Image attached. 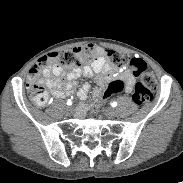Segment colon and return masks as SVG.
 <instances>
[{
	"label": "colon",
	"instance_id": "obj_1",
	"mask_svg": "<svg viewBox=\"0 0 183 183\" xmlns=\"http://www.w3.org/2000/svg\"><path fill=\"white\" fill-rule=\"evenodd\" d=\"M100 52L98 47L86 45L42 57L29 73L27 91L30 100L37 106H43L47 102L48 96L41 78L43 70L50 68L52 65H58L61 68L79 67L82 63L97 57ZM103 54L112 67L121 69L128 66L138 77V82L132 95V99L136 104L141 105L152 99L153 93L157 88V81L143 60L130 59L126 54L114 50L103 51ZM126 89V82L123 78L112 79L104 95L100 97V102H96L91 107L88 115L93 117L97 110L107 103L109 97L117 93L122 94Z\"/></svg>",
	"mask_w": 183,
	"mask_h": 183
}]
</instances>
